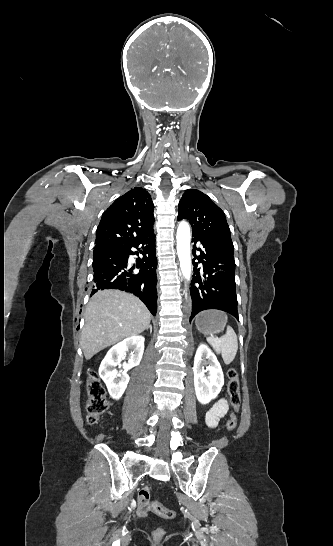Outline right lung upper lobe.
Listing matches in <instances>:
<instances>
[{
  "label": "right lung upper lobe",
  "instance_id": "obj_1",
  "mask_svg": "<svg viewBox=\"0 0 333 546\" xmlns=\"http://www.w3.org/2000/svg\"><path fill=\"white\" fill-rule=\"evenodd\" d=\"M154 205L141 187L131 189L103 213L96 230L95 244L108 239L134 238L153 231Z\"/></svg>",
  "mask_w": 333,
  "mask_h": 546
}]
</instances>
